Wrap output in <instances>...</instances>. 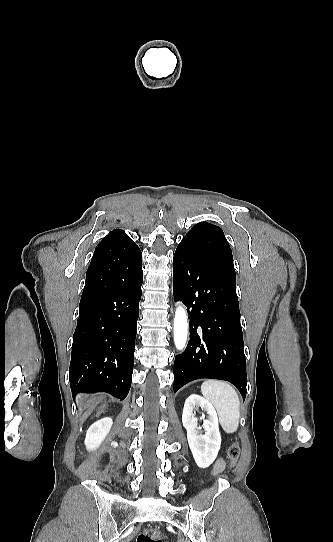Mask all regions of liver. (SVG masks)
<instances>
[{
	"label": "liver",
	"instance_id": "liver-1",
	"mask_svg": "<svg viewBox=\"0 0 333 542\" xmlns=\"http://www.w3.org/2000/svg\"><path fill=\"white\" fill-rule=\"evenodd\" d=\"M80 400H82V398H79L78 402H80ZM98 414H101V412H98Z\"/></svg>",
	"mask_w": 333,
	"mask_h": 542
}]
</instances>
